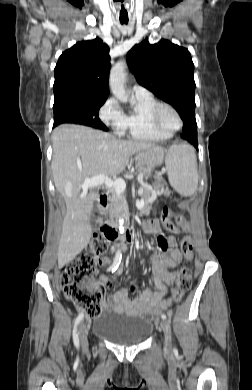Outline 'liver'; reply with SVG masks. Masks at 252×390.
Returning a JSON list of instances; mask_svg holds the SVG:
<instances>
[{"mask_svg":"<svg viewBox=\"0 0 252 390\" xmlns=\"http://www.w3.org/2000/svg\"><path fill=\"white\" fill-rule=\"evenodd\" d=\"M52 147L55 187L67 203L58 247V266L62 268L91 238L90 215L98 193L82 188L85 179L99 174L117 175L126 168L132 155L163 149L152 143L118 140L109 133L75 124L55 128Z\"/></svg>","mask_w":252,"mask_h":390,"instance_id":"liver-1","label":"liver"}]
</instances>
